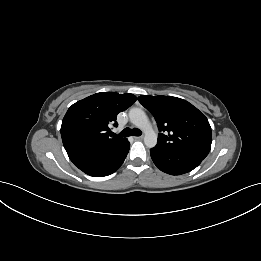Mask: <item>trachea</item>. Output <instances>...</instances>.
I'll use <instances>...</instances> for the list:
<instances>
[{
    "mask_svg": "<svg viewBox=\"0 0 261 261\" xmlns=\"http://www.w3.org/2000/svg\"><path fill=\"white\" fill-rule=\"evenodd\" d=\"M142 134L140 129L137 128H125L119 135L122 137H128V136H140Z\"/></svg>",
    "mask_w": 261,
    "mask_h": 261,
    "instance_id": "1",
    "label": "trachea"
}]
</instances>
